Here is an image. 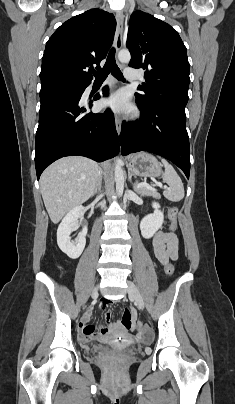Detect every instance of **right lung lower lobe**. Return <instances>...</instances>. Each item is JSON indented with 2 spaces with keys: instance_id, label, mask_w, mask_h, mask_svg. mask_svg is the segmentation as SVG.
<instances>
[{
  "instance_id": "98d812e1",
  "label": "right lung lower lobe",
  "mask_w": 235,
  "mask_h": 404,
  "mask_svg": "<svg viewBox=\"0 0 235 404\" xmlns=\"http://www.w3.org/2000/svg\"><path fill=\"white\" fill-rule=\"evenodd\" d=\"M90 83L80 84L73 95L53 93L40 97L39 126L36 132L35 167L37 179L55 160L80 155L97 162L119 152V138L113 113H85L92 103L82 104L81 96ZM108 94V88L103 89ZM100 98L98 94L94 99Z\"/></svg>"
}]
</instances>
